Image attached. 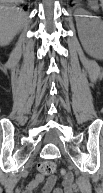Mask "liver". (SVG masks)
<instances>
[{
	"instance_id": "1",
	"label": "liver",
	"mask_w": 103,
	"mask_h": 193,
	"mask_svg": "<svg viewBox=\"0 0 103 193\" xmlns=\"http://www.w3.org/2000/svg\"><path fill=\"white\" fill-rule=\"evenodd\" d=\"M19 0H2V3H17ZM25 13L14 6L1 8V45H8L18 34L23 23Z\"/></svg>"
}]
</instances>
